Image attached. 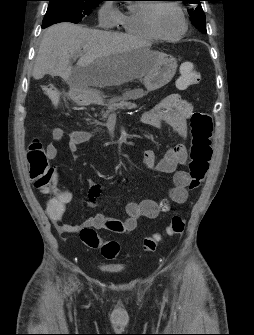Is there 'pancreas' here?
Instances as JSON below:
<instances>
[{"instance_id":"obj_1","label":"pancreas","mask_w":254,"mask_h":335,"mask_svg":"<svg viewBox=\"0 0 254 335\" xmlns=\"http://www.w3.org/2000/svg\"><path fill=\"white\" fill-rule=\"evenodd\" d=\"M128 99L123 97H114L111 100H109L107 105V110L102 111V118L106 119L110 112L116 111L118 109H134L137 108V105L132 102H128Z\"/></svg>"}]
</instances>
